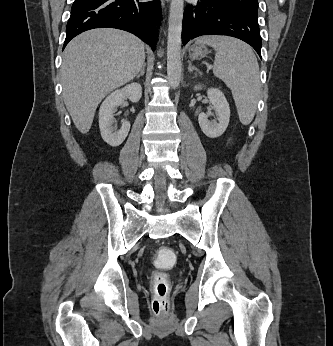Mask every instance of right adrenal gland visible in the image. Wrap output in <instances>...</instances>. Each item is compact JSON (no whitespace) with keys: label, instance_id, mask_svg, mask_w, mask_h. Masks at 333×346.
I'll use <instances>...</instances> for the list:
<instances>
[{"label":"right adrenal gland","instance_id":"1","mask_svg":"<svg viewBox=\"0 0 333 346\" xmlns=\"http://www.w3.org/2000/svg\"><path fill=\"white\" fill-rule=\"evenodd\" d=\"M145 67H146V64L144 63L141 70H140V73L136 76L137 78H139L140 76H143L144 73H145Z\"/></svg>","mask_w":333,"mask_h":346}]
</instances>
